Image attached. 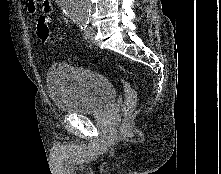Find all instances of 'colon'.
Masks as SVG:
<instances>
[{
  "instance_id": "5ec220e1",
  "label": "colon",
  "mask_w": 221,
  "mask_h": 174,
  "mask_svg": "<svg viewBox=\"0 0 221 174\" xmlns=\"http://www.w3.org/2000/svg\"><path fill=\"white\" fill-rule=\"evenodd\" d=\"M37 35L40 40L44 43L52 41L50 34L49 22L46 17L40 16L36 27ZM123 85L125 103L123 106V111L126 115H129L137 104V93L135 88L125 79H121Z\"/></svg>"
}]
</instances>
